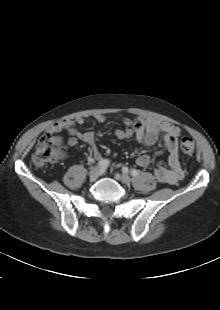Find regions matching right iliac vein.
<instances>
[{
    "label": "right iliac vein",
    "instance_id": "1",
    "mask_svg": "<svg viewBox=\"0 0 220 310\" xmlns=\"http://www.w3.org/2000/svg\"><path fill=\"white\" fill-rule=\"evenodd\" d=\"M99 175H100L99 170H94V171H92V172L90 173V180H91V181H96V180L98 179Z\"/></svg>",
    "mask_w": 220,
    "mask_h": 310
}]
</instances>
